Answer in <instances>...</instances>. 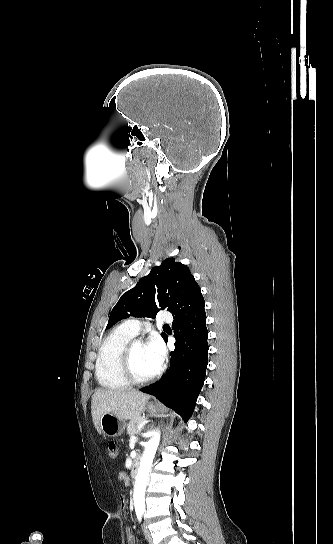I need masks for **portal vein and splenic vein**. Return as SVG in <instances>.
I'll list each match as a JSON object with an SVG mask.
<instances>
[{"label":"portal vein and splenic vein","mask_w":333,"mask_h":544,"mask_svg":"<svg viewBox=\"0 0 333 544\" xmlns=\"http://www.w3.org/2000/svg\"><path fill=\"white\" fill-rule=\"evenodd\" d=\"M136 440H137V438H136L135 436H132V437L130 438V442H135Z\"/></svg>","instance_id":"1"}]
</instances>
